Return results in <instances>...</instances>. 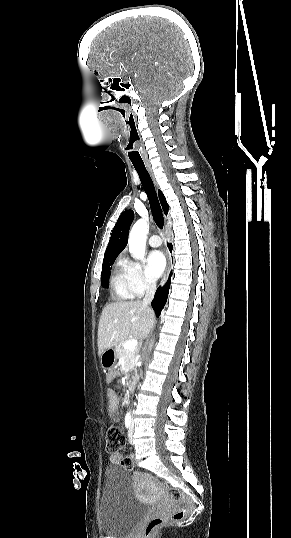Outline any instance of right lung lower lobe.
<instances>
[{
  "mask_svg": "<svg viewBox=\"0 0 291 538\" xmlns=\"http://www.w3.org/2000/svg\"><path fill=\"white\" fill-rule=\"evenodd\" d=\"M169 250L172 251V245L168 244ZM172 272L170 273L169 279L164 287H159L156 291L155 297L152 301V307L155 310L157 316L160 315L161 310L164 308V305L166 303L167 297H168V291L170 287V280H171Z\"/></svg>",
  "mask_w": 291,
  "mask_h": 538,
  "instance_id": "obj_1",
  "label": "right lung lower lobe"
}]
</instances>
